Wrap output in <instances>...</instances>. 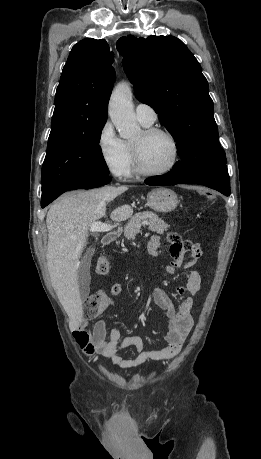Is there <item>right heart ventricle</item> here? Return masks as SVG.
Listing matches in <instances>:
<instances>
[{
	"label": "right heart ventricle",
	"mask_w": 261,
	"mask_h": 459,
	"mask_svg": "<svg viewBox=\"0 0 261 459\" xmlns=\"http://www.w3.org/2000/svg\"><path fill=\"white\" fill-rule=\"evenodd\" d=\"M142 125L145 126V127H149L150 126V125L143 124V123H142ZM124 144H125L126 150H127L128 154H129V157H130V160H131L130 169H129V172L127 173V175H126V176H130L135 172L134 159H133V153H132V144L129 143V142H126V141H124Z\"/></svg>",
	"instance_id": "obj_1"
}]
</instances>
